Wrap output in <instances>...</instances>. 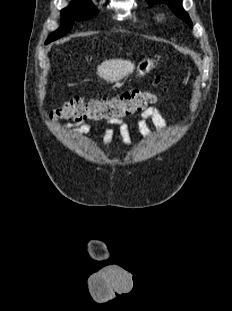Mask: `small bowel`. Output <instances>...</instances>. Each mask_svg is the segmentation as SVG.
Here are the masks:
<instances>
[{
    "mask_svg": "<svg viewBox=\"0 0 232 311\" xmlns=\"http://www.w3.org/2000/svg\"><path fill=\"white\" fill-rule=\"evenodd\" d=\"M150 125H152L159 134L166 132L172 125L170 119L166 118L163 112L157 107H148L145 109L140 118L137 121L138 132L146 141H150L153 138V132ZM112 126H117L118 131L122 139L124 140L125 147L129 144L130 128L129 125L123 121H108L103 128V144L105 149L108 148L109 142L113 135ZM64 129L69 134L80 135L89 133L92 130V126L89 123H65Z\"/></svg>",
    "mask_w": 232,
    "mask_h": 311,
    "instance_id": "small-bowel-1",
    "label": "small bowel"
}]
</instances>
